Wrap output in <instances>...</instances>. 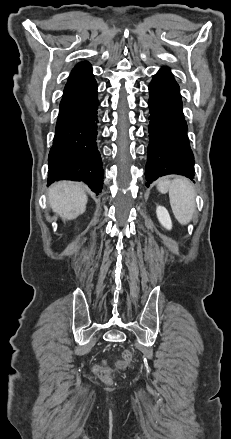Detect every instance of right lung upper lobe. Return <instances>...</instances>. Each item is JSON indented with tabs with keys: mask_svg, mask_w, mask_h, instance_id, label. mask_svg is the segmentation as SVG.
Here are the masks:
<instances>
[{
	"mask_svg": "<svg viewBox=\"0 0 231 439\" xmlns=\"http://www.w3.org/2000/svg\"><path fill=\"white\" fill-rule=\"evenodd\" d=\"M92 76L93 74L90 63L87 61L80 62L72 70L64 90L78 85Z\"/></svg>",
	"mask_w": 231,
	"mask_h": 439,
	"instance_id": "right-lung-upper-lobe-1",
	"label": "right lung upper lobe"
}]
</instances>
